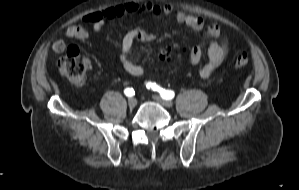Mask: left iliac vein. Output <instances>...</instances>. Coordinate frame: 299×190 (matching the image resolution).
Wrapping results in <instances>:
<instances>
[{"instance_id": "4c4485c4", "label": "left iliac vein", "mask_w": 299, "mask_h": 190, "mask_svg": "<svg viewBox=\"0 0 299 190\" xmlns=\"http://www.w3.org/2000/svg\"><path fill=\"white\" fill-rule=\"evenodd\" d=\"M153 98H154L155 101H157L159 104H161L164 107H172L173 106L172 101L162 99L158 95H154Z\"/></svg>"}]
</instances>
